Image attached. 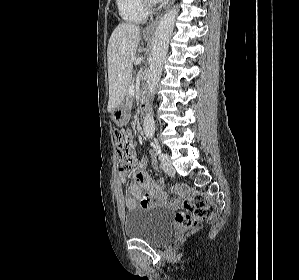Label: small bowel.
<instances>
[{
  "label": "small bowel",
  "instance_id": "small-bowel-1",
  "mask_svg": "<svg viewBox=\"0 0 299 280\" xmlns=\"http://www.w3.org/2000/svg\"><path fill=\"white\" fill-rule=\"evenodd\" d=\"M133 160L136 163V155L133 150ZM146 159H142L138 170L134 173L133 178L128 182V193L124 197V204L127 208H149L153 206H171L177 207L180 204L178 198L169 199L161 180L152 181L147 175L144 167ZM156 168V163H152ZM175 191H177L175 189Z\"/></svg>",
  "mask_w": 299,
  "mask_h": 280
}]
</instances>
